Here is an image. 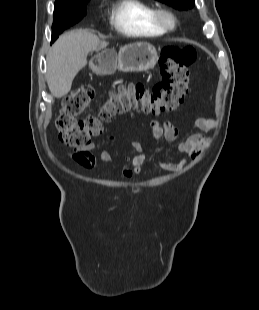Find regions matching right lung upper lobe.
I'll return each instance as SVG.
<instances>
[{"label":"right lung upper lobe","instance_id":"obj_1","mask_svg":"<svg viewBox=\"0 0 259 310\" xmlns=\"http://www.w3.org/2000/svg\"><path fill=\"white\" fill-rule=\"evenodd\" d=\"M86 0H56L54 8L71 7L81 4Z\"/></svg>","mask_w":259,"mask_h":310}]
</instances>
